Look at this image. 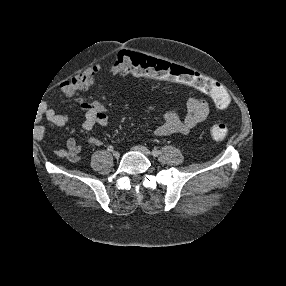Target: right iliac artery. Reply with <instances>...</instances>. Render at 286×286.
Listing matches in <instances>:
<instances>
[{
  "mask_svg": "<svg viewBox=\"0 0 286 286\" xmlns=\"http://www.w3.org/2000/svg\"><path fill=\"white\" fill-rule=\"evenodd\" d=\"M113 149H114V148H113V146H111V145L107 147V150L110 151V152H112Z\"/></svg>",
  "mask_w": 286,
  "mask_h": 286,
  "instance_id": "1",
  "label": "right iliac artery"
}]
</instances>
